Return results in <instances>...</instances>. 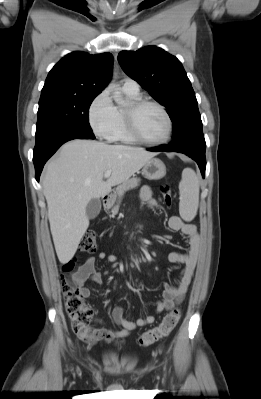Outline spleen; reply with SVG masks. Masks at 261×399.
<instances>
[{"instance_id":"1","label":"spleen","mask_w":261,"mask_h":399,"mask_svg":"<svg viewBox=\"0 0 261 399\" xmlns=\"http://www.w3.org/2000/svg\"><path fill=\"white\" fill-rule=\"evenodd\" d=\"M179 213L183 220L191 221L197 214L199 205V179L196 173L186 168L179 183Z\"/></svg>"}]
</instances>
